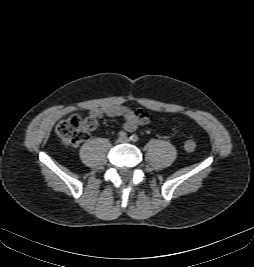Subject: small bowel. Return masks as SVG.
I'll return each mask as SVG.
<instances>
[{"mask_svg": "<svg viewBox=\"0 0 254 267\" xmlns=\"http://www.w3.org/2000/svg\"><path fill=\"white\" fill-rule=\"evenodd\" d=\"M105 116L122 117L124 120V129L128 132H132L136 130L138 126L145 125L149 122V117L145 112L124 105L93 107L89 110V117L96 121Z\"/></svg>", "mask_w": 254, "mask_h": 267, "instance_id": "c3829d8e", "label": "small bowel"}]
</instances>
